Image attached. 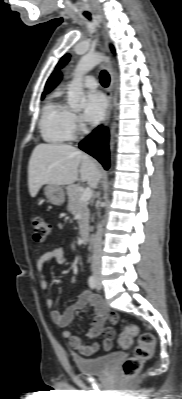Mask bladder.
Instances as JSON below:
<instances>
[{"label": "bladder", "mask_w": 182, "mask_h": 399, "mask_svg": "<svg viewBox=\"0 0 182 399\" xmlns=\"http://www.w3.org/2000/svg\"><path fill=\"white\" fill-rule=\"evenodd\" d=\"M122 358V353L112 352L95 358L75 357L74 363L77 369L86 375H98L107 373L116 361Z\"/></svg>", "instance_id": "1"}]
</instances>
